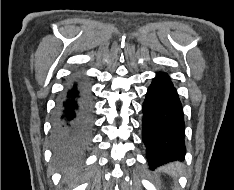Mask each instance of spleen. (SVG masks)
Segmentation results:
<instances>
[{"label": "spleen", "instance_id": "obj_1", "mask_svg": "<svg viewBox=\"0 0 234 190\" xmlns=\"http://www.w3.org/2000/svg\"><path fill=\"white\" fill-rule=\"evenodd\" d=\"M181 167L182 165L180 163H175V164L172 163L167 166V169L171 175L175 176L177 172L181 171Z\"/></svg>", "mask_w": 234, "mask_h": 190}]
</instances>
